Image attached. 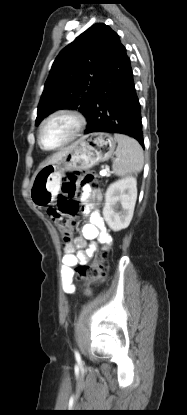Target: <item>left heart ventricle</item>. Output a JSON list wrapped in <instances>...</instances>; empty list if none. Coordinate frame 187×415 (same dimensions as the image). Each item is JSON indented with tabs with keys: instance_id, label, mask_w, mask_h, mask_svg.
I'll return each instance as SVG.
<instances>
[{
	"instance_id": "1",
	"label": "left heart ventricle",
	"mask_w": 187,
	"mask_h": 415,
	"mask_svg": "<svg viewBox=\"0 0 187 415\" xmlns=\"http://www.w3.org/2000/svg\"><path fill=\"white\" fill-rule=\"evenodd\" d=\"M75 128V122L70 117L59 116L50 120L43 129L42 141L47 147H54L65 140L72 134Z\"/></svg>"
}]
</instances>
